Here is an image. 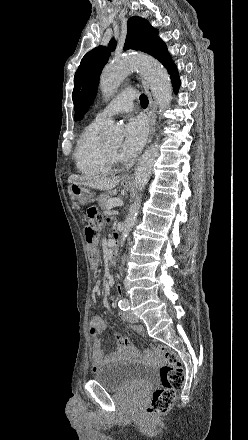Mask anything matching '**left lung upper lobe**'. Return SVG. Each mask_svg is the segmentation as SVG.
<instances>
[{"mask_svg": "<svg viewBox=\"0 0 248 440\" xmlns=\"http://www.w3.org/2000/svg\"><path fill=\"white\" fill-rule=\"evenodd\" d=\"M127 27L124 50L134 49L146 52L158 59L167 68L170 75L177 72L165 43L158 37V30H155L147 20L132 17L128 20ZM115 47V41L111 40L108 48L98 46L89 51L81 60L74 77L72 93V99L80 119L96 95L101 71L108 61L110 51L115 50Z\"/></svg>", "mask_w": 248, "mask_h": 440, "instance_id": "obj_1", "label": "left lung upper lobe"}]
</instances>
